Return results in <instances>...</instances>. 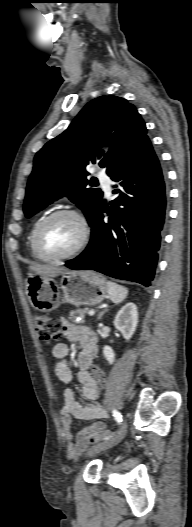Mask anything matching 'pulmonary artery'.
<instances>
[{"instance_id":"e3ab8cb5","label":"pulmonary artery","mask_w":192,"mask_h":527,"mask_svg":"<svg viewBox=\"0 0 192 527\" xmlns=\"http://www.w3.org/2000/svg\"><path fill=\"white\" fill-rule=\"evenodd\" d=\"M97 178L99 179L100 183L102 184L106 195L110 196V194H111V181H110L109 177L105 173L99 172L97 174Z\"/></svg>"}]
</instances>
